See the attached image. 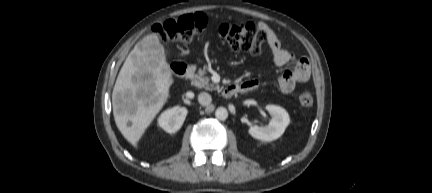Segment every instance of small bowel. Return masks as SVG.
Listing matches in <instances>:
<instances>
[{"label":"small bowel","mask_w":432,"mask_h":193,"mask_svg":"<svg viewBox=\"0 0 432 193\" xmlns=\"http://www.w3.org/2000/svg\"><path fill=\"white\" fill-rule=\"evenodd\" d=\"M258 28L266 34L275 65H290V68L276 79V84L280 91L288 94L291 93L298 84L306 83L311 75L308 60L306 58L295 60L293 53L282 46L276 33L266 23L260 22ZM258 84L256 79H248L239 85L241 87L240 91H252L258 87Z\"/></svg>","instance_id":"small-bowel-1"}]
</instances>
